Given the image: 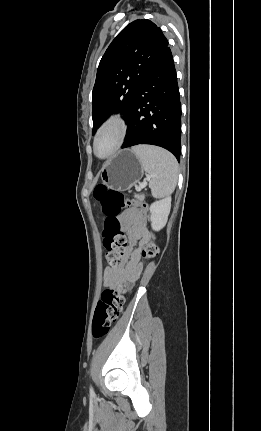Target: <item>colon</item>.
Masks as SVG:
<instances>
[{
    "mask_svg": "<svg viewBox=\"0 0 261 431\" xmlns=\"http://www.w3.org/2000/svg\"><path fill=\"white\" fill-rule=\"evenodd\" d=\"M94 197L100 204L106 219L103 230V245L106 249V260L109 266L115 267L124 260V249L127 245V237L121 230L116 216L124 207L147 209V205L128 200L118 190L109 189L104 185H98L94 190ZM158 253V247L150 239L145 244L142 255L146 260L154 258ZM125 287L108 288L103 291L99 300L92 323V333L95 338L107 335L113 323L117 321L124 305Z\"/></svg>",
    "mask_w": 261,
    "mask_h": 431,
    "instance_id": "5ec220e1",
    "label": "colon"
}]
</instances>
